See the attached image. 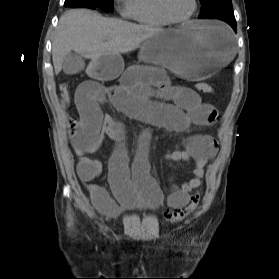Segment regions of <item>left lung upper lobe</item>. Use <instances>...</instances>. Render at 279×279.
<instances>
[{
    "instance_id": "1",
    "label": "left lung upper lobe",
    "mask_w": 279,
    "mask_h": 279,
    "mask_svg": "<svg viewBox=\"0 0 279 279\" xmlns=\"http://www.w3.org/2000/svg\"><path fill=\"white\" fill-rule=\"evenodd\" d=\"M202 10L198 18L211 19L225 15H233L231 0H200Z\"/></svg>"
}]
</instances>
